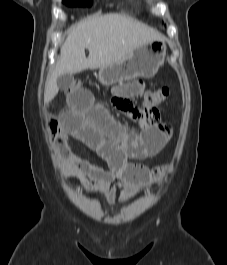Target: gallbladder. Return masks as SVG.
<instances>
[{
  "mask_svg": "<svg viewBox=\"0 0 227 265\" xmlns=\"http://www.w3.org/2000/svg\"><path fill=\"white\" fill-rule=\"evenodd\" d=\"M74 81L72 74H64L57 77V86L61 90H66L71 87Z\"/></svg>",
  "mask_w": 227,
  "mask_h": 265,
  "instance_id": "obj_1",
  "label": "gallbladder"
}]
</instances>
